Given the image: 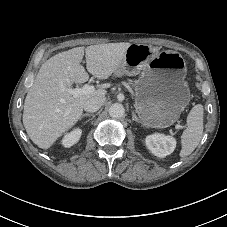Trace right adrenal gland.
<instances>
[{
	"instance_id": "1",
	"label": "right adrenal gland",
	"mask_w": 227,
	"mask_h": 227,
	"mask_svg": "<svg viewBox=\"0 0 227 227\" xmlns=\"http://www.w3.org/2000/svg\"><path fill=\"white\" fill-rule=\"evenodd\" d=\"M84 117H94V114H91V113H85V114H83L82 116H81V118H80V120L82 119V118H84Z\"/></svg>"
}]
</instances>
